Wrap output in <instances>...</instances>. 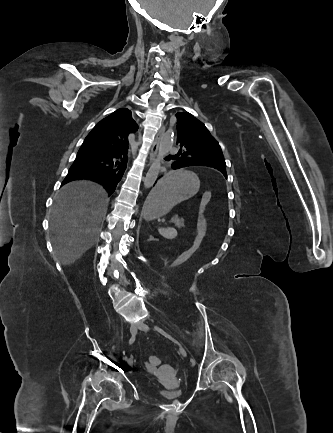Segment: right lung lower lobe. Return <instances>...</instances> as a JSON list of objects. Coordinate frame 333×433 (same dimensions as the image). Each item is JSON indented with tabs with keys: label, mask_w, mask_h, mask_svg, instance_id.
I'll list each match as a JSON object with an SVG mask.
<instances>
[{
	"label": "right lung lower lobe",
	"mask_w": 333,
	"mask_h": 433,
	"mask_svg": "<svg viewBox=\"0 0 333 433\" xmlns=\"http://www.w3.org/2000/svg\"><path fill=\"white\" fill-rule=\"evenodd\" d=\"M93 143L95 142L90 141L89 137L85 138L81 147L90 151L78 152L62 185L74 180L88 179L103 185L111 195L127 167L128 149L99 153L92 146Z\"/></svg>",
	"instance_id": "98d812e1"
}]
</instances>
